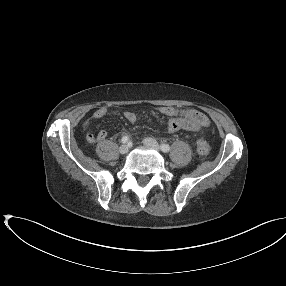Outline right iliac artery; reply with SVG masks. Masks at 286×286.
<instances>
[{"label":"right iliac artery","instance_id":"obj_1","mask_svg":"<svg viewBox=\"0 0 286 286\" xmlns=\"http://www.w3.org/2000/svg\"><path fill=\"white\" fill-rule=\"evenodd\" d=\"M129 141V137L128 136H123L122 139H121V142L123 144L127 143Z\"/></svg>","mask_w":286,"mask_h":286}]
</instances>
